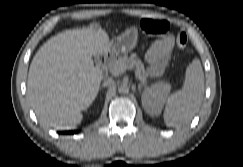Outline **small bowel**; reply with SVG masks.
<instances>
[{
    "label": "small bowel",
    "instance_id": "1",
    "mask_svg": "<svg viewBox=\"0 0 243 167\" xmlns=\"http://www.w3.org/2000/svg\"><path fill=\"white\" fill-rule=\"evenodd\" d=\"M172 46L173 37L171 35H166L151 45L145 56L151 75L158 76L163 72L168 62Z\"/></svg>",
    "mask_w": 243,
    "mask_h": 167
}]
</instances>
